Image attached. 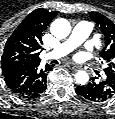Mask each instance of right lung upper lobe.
<instances>
[{
  "label": "right lung upper lobe",
  "mask_w": 115,
  "mask_h": 119,
  "mask_svg": "<svg viewBox=\"0 0 115 119\" xmlns=\"http://www.w3.org/2000/svg\"><path fill=\"white\" fill-rule=\"evenodd\" d=\"M57 13L39 8L20 23L5 44L1 59L3 74L30 64H40L41 36Z\"/></svg>",
  "instance_id": "1"
}]
</instances>
